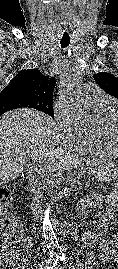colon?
<instances>
[{
	"mask_svg": "<svg viewBox=\"0 0 118 269\" xmlns=\"http://www.w3.org/2000/svg\"><path fill=\"white\" fill-rule=\"evenodd\" d=\"M0 220L6 222L0 265L4 269H20L21 262L27 257L29 241L23 236L21 221L14 214L11 191L4 186L0 187Z\"/></svg>",
	"mask_w": 118,
	"mask_h": 269,
	"instance_id": "colon-1",
	"label": "colon"
}]
</instances>
